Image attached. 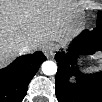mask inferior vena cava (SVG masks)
<instances>
[{
	"label": "inferior vena cava",
	"mask_w": 102,
	"mask_h": 102,
	"mask_svg": "<svg viewBox=\"0 0 102 102\" xmlns=\"http://www.w3.org/2000/svg\"><path fill=\"white\" fill-rule=\"evenodd\" d=\"M34 50L32 46L25 45L19 49L20 53H31Z\"/></svg>",
	"instance_id": "602c4592"
}]
</instances>
